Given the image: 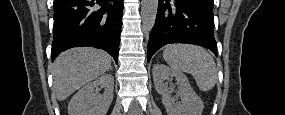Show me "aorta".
Segmentation results:
<instances>
[{
  "label": "aorta",
  "instance_id": "762f6f07",
  "mask_svg": "<svg viewBox=\"0 0 285 115\" xmlns=\"http://www.w3.org/2000/svg\"><path fill=\"white\" fill-rule=\"evenodd\" d=\"M158 10V0H142L141 2V17L142 28L146 34L152 30Z\"/></svg>",
  "mask_w": 285,
  "mask_h": 115
}]
</instances>
